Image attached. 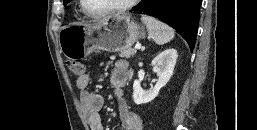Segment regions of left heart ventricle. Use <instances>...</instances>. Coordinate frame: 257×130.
Listing matches in <instances>:
<instances>
[{"instance_id": "b2bd125f", "label": "left heart ventricle", "mask_w": 257, "mask_h": 130, "mask_svg": "<svg viewBox=\"0 0 257 130\" xmlns=\"http://www.w3.org/2000/svg\"><path fill=\"white\" fill-rule=\"evenodd\" d=\"M126 0H85L86 7L92 12H102Z\"/></svg>"}]
</instances>
